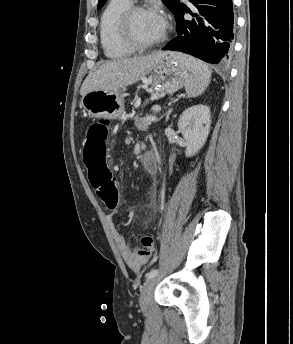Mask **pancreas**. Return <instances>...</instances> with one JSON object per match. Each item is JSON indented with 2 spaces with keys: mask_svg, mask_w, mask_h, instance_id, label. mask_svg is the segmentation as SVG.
I'll use <instances>...</instances> for the list:
<instances>
[{
  "mask_svg": "<svg viewBox=\"0 0 293 344\" xmlns=\"http://www.w3.org/2000/svg\"><path fill=\"white\" fill-rule=\"evenodd\" d=\"M150 125V121H144V124H143V129H146V128H148V126Z\"/></svg>",
  "mask_w": 293,
  "mask_h": 344,
  "instance_id": "pancreas-1",
  "label": "pancreas"
}]
</instances>
